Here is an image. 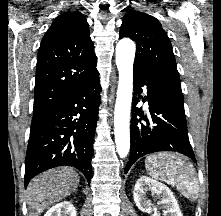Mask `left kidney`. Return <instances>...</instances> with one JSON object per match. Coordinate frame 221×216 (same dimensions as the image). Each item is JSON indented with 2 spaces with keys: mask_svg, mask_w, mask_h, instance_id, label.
I'll list each match as a JSON object with an SVG mask.
<instances>
[{
  "mask_svg": "<svg viewBox=\"0 0 221 216\" xmlns=\"http://www.w3.org/2000/svg\"><path fill=\"white\" fill-rule=\"evenodd\" d=\"M147 191H151L152 194H156L160 198L159 204L164 208L163 216H183L172 191L163 183L147 176H141L134 187V201L139 210L148 214L153 211L150 200L146 198ZM151 216H160V214L155 210Z\"/></svg>",
  "mask_w": 221,
  "mask_h": 216,
  "instance_id": "left-kidney-1",
  "label": "left kidney"
}]
</instances>
